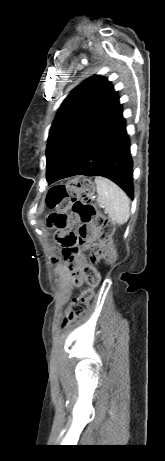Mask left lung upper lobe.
Returning a JSON list of instances; mask_svg holds the SVG:
<instances>
[{"mask_svg": "<svg viewBox=\"0 0 165 461\" xmlns=\"http://www.w3.org/2000/svg\"><path fill=\"white\" fill-rule=\"evenodd\" d=\"M118 97L106 78L92 76L61 104L49 132L46 178L49 182L78 141Z\"/></svg>", "mask_w": 165, "mask_h": 461, "instance_id": "1", "label": "left lung upper lobe"}]
</instances>
